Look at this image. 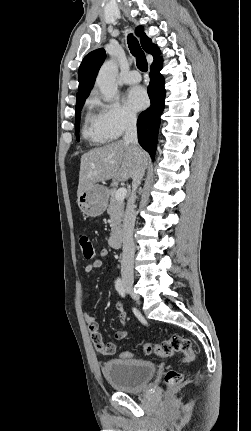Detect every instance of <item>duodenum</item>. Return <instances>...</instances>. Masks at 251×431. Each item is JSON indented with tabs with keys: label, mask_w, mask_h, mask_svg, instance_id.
Here are the masks:
<instances>
[{
	"label": "duodenum",
	"mask_w": 251,
	"mask_h": 431,
	"mask_svg": "<svg viewBox=\"0 0 251 431\" xmlns=\"http://www.w3.org/2000/svg\"><path fill=\"white\" fill-rule=\"evenodd\" d=\"M123 244V233L121 230L115 231L110 237V245L113 248H121Z\"/></svg>",
	"instance_id": "duodenum-1"
}]
</instances>
